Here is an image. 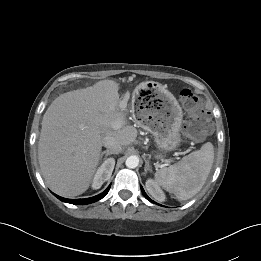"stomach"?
I'll return each mask as SVG.
<instances>
[{
  "label": "stomach",
  "instance_id": "0dacf381",
  "mask_svg": "<svg viewBox=\"0 0 261 261\" xmlns=\"http://www.w3.org/2000/svg\"><path fill=\"white\" fill-rule=\"evenodd\" d=\"M145 90L147 97L144 100L136 99L133 115L136 123L154 136L159 151L157 157L162 158L164 153L175 150L181 143L183 111L164 85L148 82Z\"/></svg>",
  "mask_w": 261,
  "mask_h": 261
}]
</instances>
